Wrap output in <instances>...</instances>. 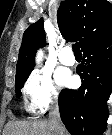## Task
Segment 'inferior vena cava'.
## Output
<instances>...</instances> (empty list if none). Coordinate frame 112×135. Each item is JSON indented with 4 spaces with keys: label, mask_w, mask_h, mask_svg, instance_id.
I'll use <instances>...</instances> for the list:
<instances>
[{
    "label": "inferior vena cava",
    "mask_w": 112,
    "mask_h": 135,
    "mask_svg": "<svg viewBox=\"0 0 112 135\" xmlns=\"http://www.w3.org/2000/svg\"><path fill=\"white\" fill-rule=\"evenodd\" d=\"M49 121L54 130V135H62L63 126L60 119L59 106L57 102H55V104L51 108Z\"/></svg>",
    "instance_id": "obj_1"
}]
</instances>
